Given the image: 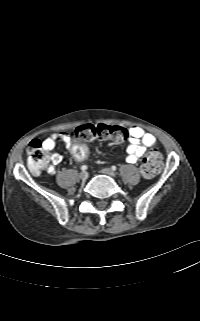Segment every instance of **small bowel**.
Listing matches in <instances>:
<instances>
[{
	"label": "small bowel",
	"mask_w": 200,
	"mask_h": 321,
	"mask_svg": "<svg viewBox=\"0 0 200 321\" xmlns=\"http://www.w3.org/2000/svg\"><path fill=\"white\" fill-rule=\"evenodd\" d=\"M128 135L129 144L126 149V161L134 164L145 154L147 148L156 143V138L153 134L138 126L130 127ZM57 142L63 143L68 149L72 144L77 143L65 132L51 134L43 141V147L48 152V160L50 162L47 172L51 175L55 174L56 166L62 161V156L59 153H51Z\"/></svg>",
	"instance_id": "obj_1"
}]
</instances>
